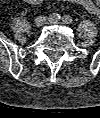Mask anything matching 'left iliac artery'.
Listing matches in <instances>:
<instances>
[{"mask_svg":"<svg viewBox=\"0 0 100 118\" xmlns=\"http://www.w3.org/2000/svg\"><path fill=\"white\" fill-rule=\"evenodd\" d=\"M62 21L64 24H70L72 23V17H70L69 15H64L63 18H62Z\"/></svg>","mask_w":100,"mask_h":118,"instance_id":"left-iliac-artery-1","label":"left iliac artery"}]
</instances>
